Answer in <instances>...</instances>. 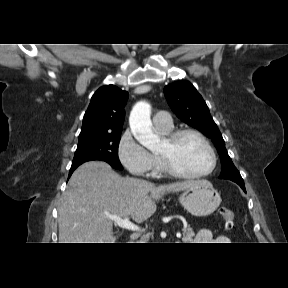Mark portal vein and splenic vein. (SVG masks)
<instances>
[{
  "mask_svg": "<svg viewBox=\"0 0 288 288\" xmlns=\"http://www.w3.org/2000/svg\"><path fill=\"white\" fill-rule=\"evenodd\" d=\"M109 219L113 220L115 222V224H117L119 227L124 228V229H128L131 231H140V227L134 223H132L128 217H124V218H120L114 215H110L108 216ZM177 238L181 237V233L178 232L176 234Z\"/></svg>",
  "mask_w": 288,
  "mask_h": 288,
  "instance_id": "obj_1",
  "label": "portal vein and splenic vein"
}]
</instances>
